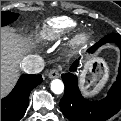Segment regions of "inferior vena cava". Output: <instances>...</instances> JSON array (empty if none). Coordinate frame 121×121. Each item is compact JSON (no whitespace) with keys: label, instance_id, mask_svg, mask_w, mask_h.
<instances>
[{"label":"inferior vena cava","instance_id":"602c4592","mask_svg":"<svg viewBox=\"0 0 121 121\" xmlns=\"http://www.w3.org/2000/svg\"><path fill=\"white\" fill-rule=\"evenodd\" d=\"M44 60L39 55H29L22 60L21 69L28 74H38L44 69Z\"/></svg>","mask_w":121,"mask_h":121}]
</instances>
